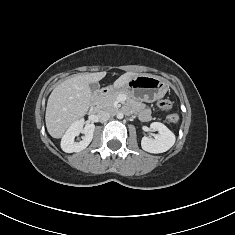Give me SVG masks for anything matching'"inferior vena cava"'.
Listing matches in <instances>:
<instances>
[{
  "label": "inferior vena cava",
  "instance_id": "inferior-vena-cava-1",
  "mask_svg": "<svg viewBox=\"0 0 235 235\" xmlns=\"http://www.w3.org/2000/svg\"><path fill=\"white\" fill-rule=\"evenodd\" d=\"M97 116L100 122H106L110 118L111 114L107 110H100Z\"/></svg>",
  "mask_w": 235,
  "mask_h": 235
}]
</instances>
